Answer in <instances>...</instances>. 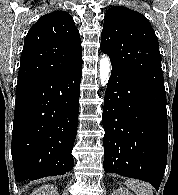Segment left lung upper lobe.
Masks as SVG:
<instances>
[{"instance_id": "5c2ea615", "label": "left lung upper lobe", "mask_w": 178, "mask_h": 195, "mask_svg": "<svg viewBox=\"0 0 178 195\" xmlns=\"http://www.w3.org/2000/svg\"><path fill=\"white\" fill-rule=\"evenodd\" d=\"M101 50L112 68L164 89L159 43L145 16L126 7L110 8L104 18Z\"/></svg>"}]
</instances>
